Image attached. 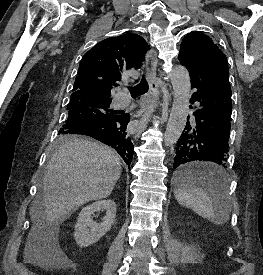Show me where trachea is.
<instances>
[{"label": "trachea", "instance_id": "1", "mask_svg": "<svg viewBox=\"0 0 263 275\" xmlns=\"http://www.w3.org/2000/svg\"><path fill=\"white\" fill-rule=\"evenodd\" d=\"M148 88V82L145 76L143 75L140 83L134 86L133 88H129V90L134 97H138L140 95L145 94L148 91Z\"/></svg>", "mask_w": 263, "mask_h": 275}]
</instances>
